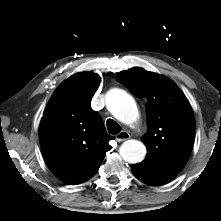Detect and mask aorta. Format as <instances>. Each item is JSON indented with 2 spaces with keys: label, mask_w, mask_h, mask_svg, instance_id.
<instances>
[{
  "label": "aorta",
  "mask_w": 221,
  "mask_h": 221,
  "mask_svg": "<svg viewBox=\"0 0 221 221\" xmlns=\"http://www.w3.org/2000/svg\"><path fill=\"white\" fill-rule=\"evenodd\" d=\"M106 107L117 120L124 124H132L139 117L135 100L121 89H111L107 93ZM119 152L123 160L131 164L141 162L147 153L145 145L138 140L125 141Z\"/></svg>",
  "instance_id": "aorta-1"
}]
</instances>
